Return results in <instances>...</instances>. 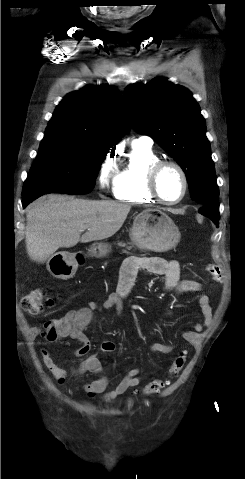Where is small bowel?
<instances>
[{"instance_id":"small-bowel-1","label":"small bowel","mask_w":245,"mask_h":479,"mask_svg":"<svg viewBox=\"0 0 245 479\" xmlns=\"http://www.w3.org/2000/svg\"><path fill=\"white\" fill-rule=\"evenodd\" d=\"M141 269L162 275L164 277L165 289L175 294L199 292L201 290L200 283L193 280L180 279V265L175 260L167 261L158 257L138 256L126 258L120 269L116 291L107 294L102 304L92 302L86 307L69 311L61 318L56 319V321L66 326V332L63 337L71 338L80 344L75 351L77 357L87 356L91 350V343L85 333V329L90 325L93 313L115 309L118 315H122L124 313V301L130 295L137 274ZM198 303L204 321L196 322L193 326V331H187L183 334L184 339L189 342L194 340L196 333L202 332L204 328L209 326L213 321V308L210 304L209 297L206 294H200L198 296ZM166 314H170L169 309L166 311ZM115 348V343L111 341H106L101 344V350L106 353L113 352ZM173 348L171 344L161 342H155L151 345V351L154 353L167 354L170 353ZM41 355L44 364L60 384H63L69 376L78 377L87 372L99 375L98 378L85 384L83 389L90 397L97 394H104L103 398L105 401H111L129 389L138 386L142 380L139 376L138 369H130L125 372L118 383L107 391L110 382L108 377L102 374L101 362L95 355L87 356L79 367L72 368L71 370H67L56 362L48 349L42 348Z\"/></svg>"}]
</instances>
